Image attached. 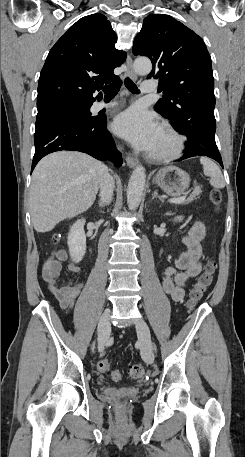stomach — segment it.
Returning a JSON list of instances; mask_svg holds the SVG:
<instances>
[{
    "label": "stomach",
    "mask_w": 245,
    "mask_h": 457,
    "mask_svg": "<svg viewBox=\"0 0 245 457\" xmlns=\"http://www.w3.org/2000/svg\"><path fill=\"white\" fill-rule=\"evenodd\" d=\"M153 182L170 196H179L190 182V174L179 166H163L158 170Z\"/></svg>",
    "instance_id": "stomach-1"
}]
</instances>
